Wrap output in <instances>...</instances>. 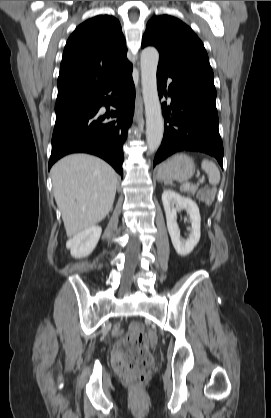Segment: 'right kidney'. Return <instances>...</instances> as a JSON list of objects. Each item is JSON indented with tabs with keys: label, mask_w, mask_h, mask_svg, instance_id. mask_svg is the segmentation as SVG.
I'll use <instances>...</instances> for the list:
<instances>
[{
	"label": "right kidney",
	"mask_w": 271,
	"mask_h": 418,
	"mask_svg": "<svg viewBox=\"0 0 271 418\" xmlns=\"http://www.w3.org/2000/svg\"><path fill=\"white\" fill-rule=\"evenodd\" d=\"M102 229L99 226L89 227L66 243L67 249H70L71 256L82 258L88 256L96 247L101 236Z\"/></svg>",
	"instance_id": "1"
}]
</instances>
